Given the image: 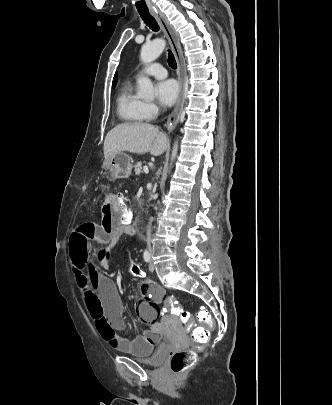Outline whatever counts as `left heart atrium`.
Instances as JSON below:
<instances>
[{
	"label": "left heart atrium",
	"instance_id": "left-heart-atrium-1",
	"mask_svg": "<svg viewBox=\"0 0 332 405\" xmlns=\"http://www.w3.org/2000/svg\"><path fill=\"white\" fill-rule=\"evenodd\" d=\"M178 83L173 79L160 81L156 85V95L158 101L164 106L173 105L179 96Z\"/></svg>",
	"mask_w": 332,
	"mask_h": 405
}]
</instances>
